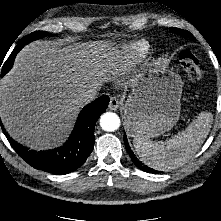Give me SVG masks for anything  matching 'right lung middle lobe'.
I'll return each mask as SVG.
<instances>
[{
    "mask_svg": "<svg viewBox=\"0 0 221 221\" xmlns=\"http://www.w3.org/2000/svg\"><path fill=\"white\" fill-rule=\"evenodd\" d=\"M47 34V32H34L26 36L25 40H27V43H30L33 40L45 37Z\"/></svg>",
    "mask_w": 221,
    "mask_h": 221,
    "instance_id": "obj_1",
    "label": "right lung middle lobe"
}]
</instances>
